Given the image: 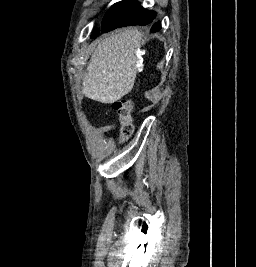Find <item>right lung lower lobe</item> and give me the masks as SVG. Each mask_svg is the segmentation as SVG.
Segmentation results:
<instances>
[{"label": "right lung lower lobe", "mask_w": 256, "mask_h": 267, "mask_svg": "<svg viewBox=\"0 0 256 267\" xmlns=\"http://www.w3.org/2000/svg\"><path fill=\"white\" fill-rule=\"evenodd\" d=\"M155 16V12L145 10L139 5L129 16L122 19L116 25V28L132 25H150L151 32H157L161 29V25L160 22H154Z\"/></svg>", "instance_id": "obj_1"}]
</instances>
